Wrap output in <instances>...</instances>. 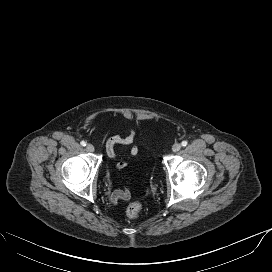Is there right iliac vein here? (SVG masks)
<instances>
[{
  "instance_id": "1",
  "label": "right iliac vein",
  "mask_w": 272,
  "mask_h": 272,
  "mask_svg": "<svg viewBox=\"0 0 272 272\" xmlns=\"http://www.w3.org/2000/svg\"><path fill=\"white\" fill-rule=\"evenodd\" d=\"M86 149H87V151H89V152H93V151L95 150V148H94V146H93L92 144H87V145H86Z\"/></svg>"
}]
</instances>
